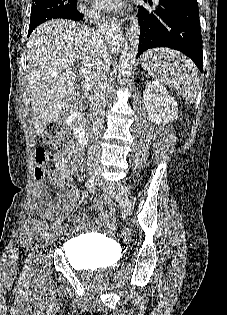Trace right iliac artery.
<instances>
[{
    "mask_svg": "<svg viewBox=\"0 0 227 315\" xmlns=\"http://www.w3.org/2000/svg\"><path fill=\"white\" fill-rule=\"evenodd\" d=\"M96 182H97V179H95V177H92V178H90V179H88L87 181H86V183H85V186L87 187V188H93L94 186H95V184H96ZM62 221H63V218H58L56 221H55V223L53 224V227L54 226H58V225H60L61 223H62ZM36 249H37V247H36ZM34 250V249H33ZM32 258H33V254H29V258L28 259H26V264H25V268L26 269H28L29 267H30V265H31V260H32Z\"/></svg>",
    "mask_w": 227,
    "mask_h": 315,
    "instance_id": "right-iliac-artery-1",
    "label": "right iliac artery"
}]
</instances>
